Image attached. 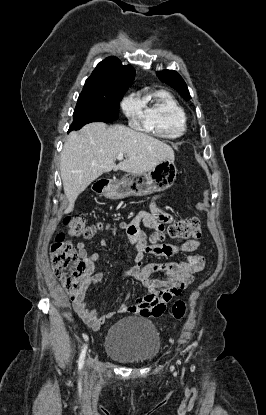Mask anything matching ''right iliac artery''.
<instances>
[{"instance_id":"obj_1","label":"right iliac artery","mask_w":266,"mask_h":415,"mask_svg":"<svg viewBox=\"0 0 266 415\" xmlns=\"http://www.w3.org/2000/svg\"><path fill=\"white\" fill-rule=\"evenodd\" d=\"M86 349H87V347L85 346L83 348L81 354H80L79 361H78L79 370H81L83 368L84 360H85V354H86Z\"/></svg>"}]
</instances>
